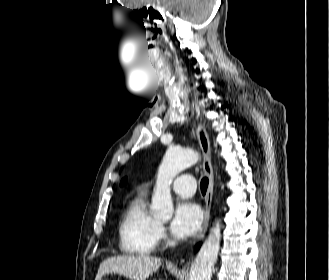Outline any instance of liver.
I'll return each instance as SVG.
<instances>
[{"label": "liver", "mask_w": 329, "mask_h": 280, "mask_svg": "<svg viewBox=\"0 0 329 280\" xmlns=\"http://www.w3.org/2000/svg\"><path fill=\"white\" fill-rule=\"evenodd\" d=\"M161 259L147 255H122L105 259L99 266L95 280L108 274H119L130 280H146L156 272Z\"/></svg>", "instance_id": "6515ba94"}]
</instances>
